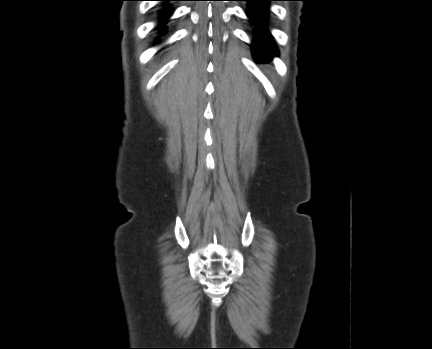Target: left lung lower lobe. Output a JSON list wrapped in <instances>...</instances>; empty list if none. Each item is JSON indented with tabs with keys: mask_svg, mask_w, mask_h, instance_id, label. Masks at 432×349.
Listing matches in <instances>:
<instances>
[{
	"mask_svg": "<svg viewBox=\"0 0 432 349\" xmlns=\"http://www.w3.org/2000/svg\"><path fill=\"white\" fill-rule=\"evenodd\" d=\"M249 3L247 15L253 25H256V40L254 41V55L259 61L268 62L271 56L278 54L270 34L264 29L267 14L266 9L269 1L275 0H244Z\"/></svg>",
	"mask_w": 432,
	"mask_h": 349,
	"instance_id": "obj_1",
	"label": "left lung lower lobe"
}]
</instances>
